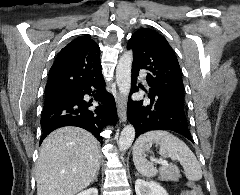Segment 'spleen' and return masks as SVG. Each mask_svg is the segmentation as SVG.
Returning <instances> with one entry per match:
<instances>
[{
    "label": "spleen",
    "mask_w": 240,
    "mask_h": 195,
    "mask_svg": "<svg viewBox=\"0 0 240 195\" xmlns=\"http://www.w3.org/2000/svg\"><path fill=\"white\" fill-rule=\"evenodd\" d=\"M156 143L159 145L160 155L162 157H171V159H178L181 165H183L184 173L187 179L190 181H198L202 177V169L200 167L199 161H197L196 155L191 151L190 147L165 129H155V131H146V133H141L138 139H136L133 145V161L136 169H138L141 175L145 177H154L158 169L154 167V163H151L149 159H146L143 155L141 147L146 145V143Z\"/></svg>",
    "instance_id": "3e777b00"
}]
</instances>
